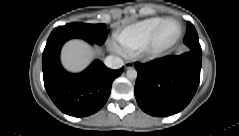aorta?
Returning a JSON list of instances; mask_svg holds the SVG:
<instances>
[{"label":"aorta","instance_id":"762f6f07","mask_svg":"<svg viewBox=\"0 0 239 136\" xmlns=\"http://www.w3.org/2000/svg\"><path fill=\"white\" fill-rule=\"evenodd\" d=\"M126 75L129 79H135L137 77V71L134 68H129Z\"/></svg>","mask_w":239,"mask_h":136}]
</instances>
